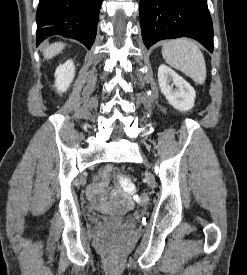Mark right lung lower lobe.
Wrapping results in <instances>:
<instances>
[{
  "mask_svg": "<svg viewBox=\"0 0 247 275\" xmlns=\"http://www.w3.org/2000/svg\"><path fill=\"white\" fill-rule=\"evenodd\" d=\"M102 0H40L36 13L37 46L52 35L73 38L91 48Z\"/></svg>",
  "mask_w": 247,
  "mask_h": 275,
  "instance_id": "obj_1",
  "label": "right lung lower lobe"
}]
</instances>
